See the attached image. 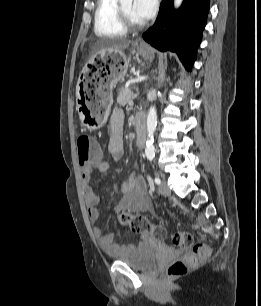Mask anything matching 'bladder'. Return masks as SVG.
I'll use <instances>...</instances> for the list:
<instances>
[{
    "label": "bladder",
    "instance_id": "1",
    "mask_svg": "<svg viewBox=\"0 0 261 306\" xmlns=\"http://www.w3.org/2000/svg\"><path fill=\"white\" fill-rule=\"evenodd\" d=\"M109 260L127 264L133 269L147 270L158 261L154 241L143 239L125 253L108 256Z\"/></svg>",
    "mask_w": 261,
    "mask_h": 306
}]
</instances>
